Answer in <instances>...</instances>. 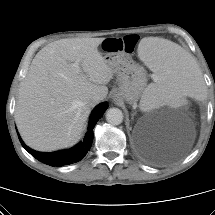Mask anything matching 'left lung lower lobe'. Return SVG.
Masks as SVG:
<instances>
[{"mask_svg":"<svg viewBox=\"0 0 215 215\" xmlns=\"http://www.w3.org/2000/svg\"><path fill=\"white\" fill-rule=\"evenodd\" d=\"M138 152L149 162L151 163H155L158 162L156 159H154L152 156L146 154L144 151H142V149H138Z\"/></svg>","mask_w":215,"mask_h":215,"instance_id":"left-lung-lower-lobe-1","label":"left lung lower lobe"}]
</instances>
